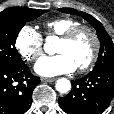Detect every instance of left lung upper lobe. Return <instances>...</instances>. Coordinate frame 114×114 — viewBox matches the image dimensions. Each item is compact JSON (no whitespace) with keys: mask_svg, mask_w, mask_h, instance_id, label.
Instances as JSON below:
<instances>
[{"mask_svg":"<svg viewBox=\"0 0 114 114\" xmlns=\"http://www.w3.org/2000/svg\"><path fill=\"white\" fill-rule=\"evenodd\" d=\"M60 11L64 13L82 16L96 29L101 46H100L98 60L96 62L94 69L114 67V44L109 35L107 34V32L105 31L103 25L93 16L85 12H78L72 8H61Z\"/></svg>","mask_w":114,"mask_h":114,"instance_id":"5c2ea615","label":"left lung upper lobe"}]
</instances>
